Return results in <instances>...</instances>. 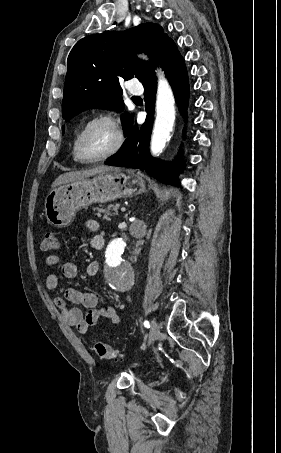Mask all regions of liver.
<instances>
[{"label":"liver","instance_id":"6515ba94","mask_svg":"<svg viewBox=\"0 0 281 453\" xmlns=\"http://www.w3.org/2000/svg\"><path fill=\"white\" fill-rule=\"evenodd\" d=\"M108 170H117L115 166H105V164H100V166H94V168H89V170H74V172H64L55 178L51 186H58V184H66L70 180H83V178H88V176H94V174H100V172H108Z\"/></svg>","mask_w":281,"mask_h":453}]
</instances>
